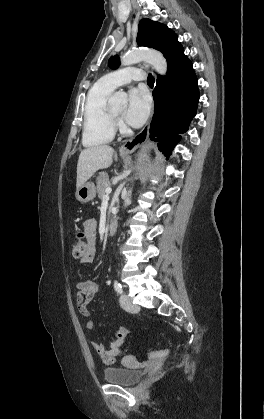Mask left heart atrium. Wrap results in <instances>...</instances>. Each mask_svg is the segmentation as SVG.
I'll use <instances>...</instances> for the list:
<instances>
[{
  "mask_svg": "<svg viewBox=\"0 0 264 419\" xmlns=\"http://www.w3.org/2000/svg\"><path fill=\"white\" fill-rule=\"evenodd\" d=\"M150 111V99L148 94L139 88L131 89L128 98V107L125 112L127 121L133 126L142 125Z\"/></svg>",
  "mask_w": 264,
  "mask_h": 419,
  "instance_id": "1",
  "label": "left heart atrium"
}]
</instances>
